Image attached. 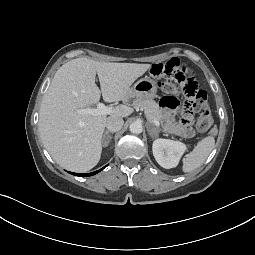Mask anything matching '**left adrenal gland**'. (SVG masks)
Returning a JSON list of instances; mask_svg holds the SVG:
<instances>
[{
	"label": "left adrenal gland",
	"instance_id": "left-adrenal-gland-1",
	"mask_svg": "<svg viewBox=\"0 0 255 255\" xmlns=\"http://www.w3.org/2000/svg\"><path fill=\"white\" fill-rule=\"evenodd\" d=\"M156 131H157V132H159V131H160V129H156ZM151 135H152V136H154V134H153V133H151Z\"/></svg>",
	"mask_w": 255,
	"mask_h": 255
}]
</instances>
